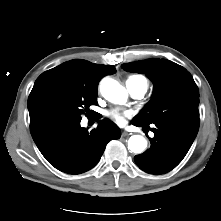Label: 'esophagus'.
Segmentation results:
<instances>
[{"label": "esophagus", "instance_id": "1", "mask_svg": "<svg viewBox=\"0 0 221 221\" xmlns=\"http://www.w3.org/2000/svg\"><path fill=\"white\" fill-rule=\"evenodd\" d=\"M128 134H129L128 131L123 130V132H122V135H123V136H126V135H128Z\"/></svg>", "mask_w": 221, "mask_h": 221}]
</instances>
